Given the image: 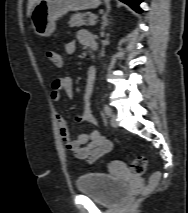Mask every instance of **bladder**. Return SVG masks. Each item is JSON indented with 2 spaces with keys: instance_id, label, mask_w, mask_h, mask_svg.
Instances as JSON below:
<instances>
[{
  "instance_id": "1",
  "label": "bladder",
  "mask_w": 188,
  "mask_h": 213,
  "mask_svg": "<svg viewBox=\"0 0 188 213\" xmlns=\"http://www.w3.org/2000/svg\"><path fill=\"white\" fill-rule=\"evenodd\" d=\"M76 188L103 206L118 204L127 192L124 181L103 172H88L80 175L76 180Z\"/></svg>"
}]
</instances>
